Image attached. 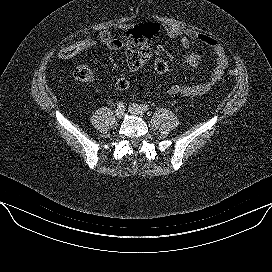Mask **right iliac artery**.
Listing matches in <instances>:
<instances>
[{
	"label": "right iliac artery",
	"mask_w": 272,
	"mask_h": 272,
	"mask_svg": "<svg viewBox=\"0 0 272 272\" xmlns=\"http://www.w3.org/2000/svg\"><path fill=\"white\" fill-rule=\"evenodd\" d=\"M117 107H118L119 109L124 108V103L120 101L119 103H117Z\"/></svg>",
	"instance_id": "1"
}]
</instances>
